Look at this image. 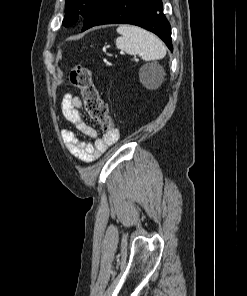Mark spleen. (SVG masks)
Segmentation results:
<instances>
[{
	"instance_id": "spleen-1",
	"label": "spleen",
	"mask_w": 247,
	"mask_h": 296,
	"mask_svg": "<svg viewBox=\"0 0 247 296\" xmlns=\"http://www.w3.org/2000/svg\"><path fill=\"white\" fill-rule=\"evenodd\" d=\"M120 37L116 47L129 55H139L144 61H155L165 57L166 47L153 33L133 25H121L117 28Z\"/></svg>"
}]
</instances>
